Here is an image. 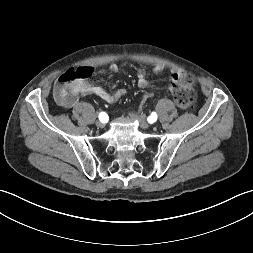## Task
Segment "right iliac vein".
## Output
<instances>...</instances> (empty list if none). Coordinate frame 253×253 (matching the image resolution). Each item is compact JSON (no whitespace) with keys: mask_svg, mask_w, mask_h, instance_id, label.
<instances>
[{"mask_svg":"<svg viewBox=\"0 0 253 253\" xmlns=\"http://www.w3.org/2000/svg\"><path fill=\"white\" fill-rule=\"evenodd\" d=\"M96 126H97L98 128H103V127H104V123L101 122V121H97V122H96Z\"/></svg>","mask_w":253,"mask_h":253,"instance_id":"1","label":"right iliac vein"}]
</instances>
